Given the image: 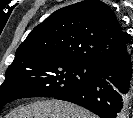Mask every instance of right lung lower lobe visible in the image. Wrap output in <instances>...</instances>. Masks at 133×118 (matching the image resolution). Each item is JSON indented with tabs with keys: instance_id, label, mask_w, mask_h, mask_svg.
Returning <instances> with one entry per match:
<instances>
[{
	"instance_id": "98d812e1",
	"label": "right lung lower lobe",
	"mask_w": 133,
	"mask_h": 118,
	"mask_svg": "<svg viewBox=\"0 0 133 118\" xmlns=\"http://www.w3.org/2000/svg\"><path fill=\"white\" fill-rule=\"evenodd\" d=\"M131 79L132 61L126 50L96 68L90 82L54 98L80 105L100 118H122L130 102Z\"/></svg>"
}]
</instances>
